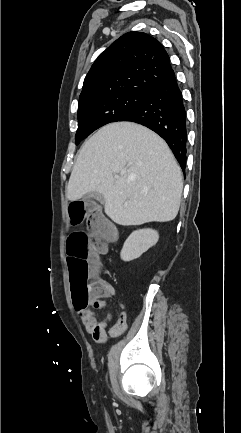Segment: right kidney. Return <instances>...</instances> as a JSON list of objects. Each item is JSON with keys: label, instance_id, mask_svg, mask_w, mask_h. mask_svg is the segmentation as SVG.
<instances>
[{"label": "right kidney", "instance_id": "obj_1", "mask_svg": "<svg viewBox=\"0 0 241 433\" xmlns=\"http://www.w3.org/2000/svg\"><path fill=\"white\" fill-rule=\"evenodd\" d=\"M159 239V234L153 229L136 230L125 241L120 253L123 261L129 262L139 258L149 248L154 246Z\"/></svg>", "mask_w": 241, "mask_h": 433}]
</instances>
